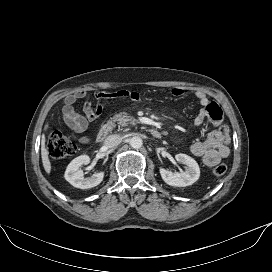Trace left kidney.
<instances>
[{
  "mask_svg": "<svg viewBox=\"0 0 272 272\" xmlns=\"http://www.w3.org/2000/svg\"><path fill=\"white\" fill-rule=\"evenodd\" d=\"M175 159L186 165L185 171L173 173L164 168H160V175L164 182L170 186L186 187L192 185L200 177V168L198 163L190 156L186 154H177Z\"/></svg>",
  "mask_w": 272,
  "mask_h": 272,
  "instance_id": "5707ae66",
  "label": "left kidney"
}]
</instances>
